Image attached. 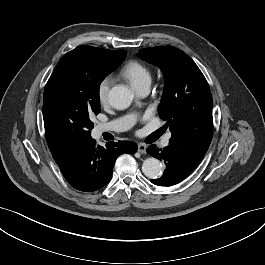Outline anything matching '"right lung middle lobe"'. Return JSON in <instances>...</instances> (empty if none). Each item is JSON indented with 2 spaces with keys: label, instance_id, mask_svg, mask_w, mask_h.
Segmentation results:
<instances>
[{
  "label": "right lung middle lobe",
  "instance_id": "dd1d6c3e",
  "mask_svg": "<svg viewBox=\"0 0 265 265\" xmlns=\"http://www.w3.org/2000/svg\"><path fill=\"white\" fill-rule=\"evenodd\" d=\"M124 50L79 46L68 52L49 78L43 100L47 143L53 156L65 154L86 138L100 113L99 86L126 58Z\"/></svg>",
  "mask_w": 265,
  "mask_h": 265
}]
</instances>
